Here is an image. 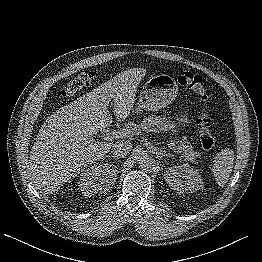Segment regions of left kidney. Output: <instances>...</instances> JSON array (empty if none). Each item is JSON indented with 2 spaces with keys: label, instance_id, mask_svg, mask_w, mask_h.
<instances>
[{
  "label": "left kidney",
  "instance_id": "5707ae66",
  "mask_svg": "<svg viewBox=\"0 0 262 262\" xmlns=\"http://www.w3.org/2000/svg\"><path fill=\"white\" fill-rule=\"evenodd\" d=\"M164 179L169 186L180 194L193 193L203 188V181L198 170L189 168L186 164L168 168Z\"/></svg>",
  "mask_w": 262,
  "mask_h": 262
}]
</instances>
